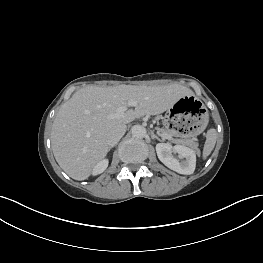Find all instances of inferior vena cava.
Here are the masks:
<instances>
[{
    "label": "inferior vena cava",
    "instance_id": "obj_1",
    "mask_svg": "<svg viewBox=\"0 0 263 263\" xmlns=\"http://www.w3.org/2000/svg\"><path fill=\"white\" fill-rule=\"evenodd\" d=\"M125 132L126 126L116 128L113 131H111L107 139V144L109 145V147H113L114 145H116L122 138V136L125 134Z\"/></svg>",
    "mask_w": 263,
    "mask_h": 263
}]
</instances>
